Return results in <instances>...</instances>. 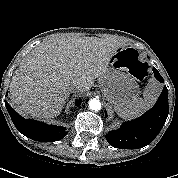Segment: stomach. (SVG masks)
I'll use <instances>...</instances> for the list:
<instances>
[{
	"instance_id": "0dacf381",
	"label": "stomach",
	"mask_w": 178,
	"mask_h": 178,
	"mask_svg": "<svg viewBox=\"0 0 178 178\" xmlns=\"http://www.w3.org/2000/svg\"><path fill=\"white\" fill-rule=\"evenodd\" d=\"M126 48H119L110 59L106 72L99 78L98 85L105 99L116 106L131 101L139 94V85L128 73L131 58Z\"/></svg>"
}]
</instances>
